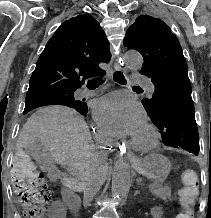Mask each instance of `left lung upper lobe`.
<instances>
[{"label": "left lung upper lobe", "mask_w": 211, "mask_h": 218, "mask_svg": "<svg viewBox=\"0 0 211 218\" xmlns=\"http://www.w3.org/2000/svg\"><path fill=\"white\" fill-rule=\"evenodd\" d=\"M124 45L143 56L140 74L151 80L155 92L142 104L161 131L163 142L198 155L199 136L188 67L176 36L162 20L141 15L128 28Z\"/></svg>", "instance_id": "1"}]
</instances>
